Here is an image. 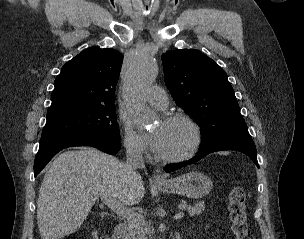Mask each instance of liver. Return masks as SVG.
Listing matches in <instances>:
<instances>
[{
    "label": "liver",
    "mask_w": 304,
    "mask_h": 239,
    "mask_svg": "<svg viewBox=\"0 0 304 239\" xmlns=\"http://www.w3.org/2000/svg\"><path fill=\"white\" fill-rule=\"evenodd\" d=\"M141 176L126 175L125 164L94 148L68 150L48 167L40 187L37 224L42 239L74 233L98 198L132 206L144 197Z\"/></svg>",
    "instance_id": "6515ba94"
}]
</instances>
